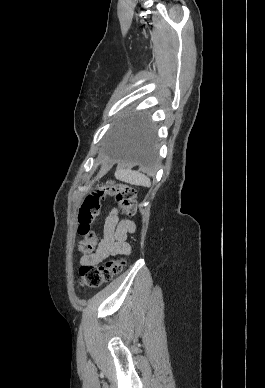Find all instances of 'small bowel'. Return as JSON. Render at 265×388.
Returning a JSON list of instances; mask_svg holds the SVG:
<instances>
[{
  "instance_id": "1",
  "label": "small bowel",
  "mask_w": 265,
  "mask_h": 388,
  "mask_svg": "<svg viewBox=\"0 0 265 388\" xmlns=\"http://www.w3.org/2000/svg\"><path fill=\"white\" fill-rule=\"evenodd\" d=\"M135 231V225L130 220H119L116 209L106 217L103 227V238L97 245L95 251L82 255L80 264L97 265L111 256L129 254L131 248L126 242L127 233Z\"/></svg>"
}]
</instances>
